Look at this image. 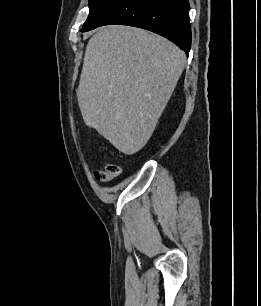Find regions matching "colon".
Returning a JSON list of instances; mask_svg holds the SVG:
<instances>
[{"mask_svg":"<svg viewBox=\"0 0 261 306\" xmlns=\"http://www.w3.org/2000/svg\"><path fill=\"white\" fill-rule=\"evenodd\" d=\"M120 173V168L115 164H109L104 170L95 173L96 178L100 181H109Z\"/></svg>","mask_w":261,"mask_h":306,"instance_id":"obj_1","label":"colon"}]
</instances>
